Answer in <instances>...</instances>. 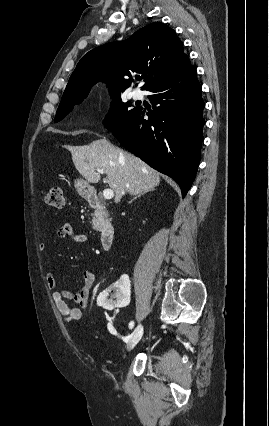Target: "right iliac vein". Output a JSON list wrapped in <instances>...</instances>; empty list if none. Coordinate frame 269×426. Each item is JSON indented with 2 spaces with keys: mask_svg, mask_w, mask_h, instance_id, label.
<instances>
[{
  "mask_svg": "<svg viewBox=\"0 0 269 426\" xmlns=\"http://www.w3.org/2000/svg\"><path fill=\"white\" fill-rule=\"evenodd\" d=\"M143 335V326L139 324L135 330L132 332L130 339L127 344V350L131 351L137 343L140 341L141 337Z\"/></svg>",
  "mask_w": 269,
  "mask_h": 426,
  "instance_id": "right-iliac-vein-1",
  "label": "right iliac vein"
}]
</instances>
